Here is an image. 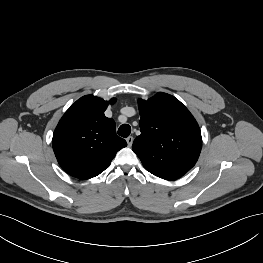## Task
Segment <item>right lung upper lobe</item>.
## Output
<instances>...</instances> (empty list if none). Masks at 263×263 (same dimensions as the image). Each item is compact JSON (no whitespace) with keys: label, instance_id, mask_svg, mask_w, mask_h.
<instances>
[{"label":"right lung upper lobe","instance_id":"cb5924a9","mask_svg":"<svg viewBox=\"0 0 263 263\" xmlns=\"http://www.w3.org/2000/svg\"><path fill=\"white\" fill-rule=\"evenodd\" d=\"M115 98L110 100L114 104ZM108 102L86 95L60 119L52 139L58 163L69 175L89 179L99 175L116 153L127 146L116 135L115 122L104 115Z\"/></svg>","mask_w":263,"mask_h":263}]
</instances>
